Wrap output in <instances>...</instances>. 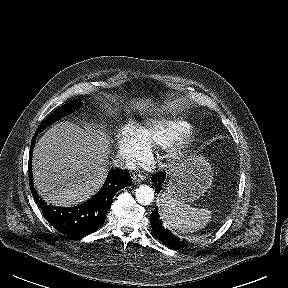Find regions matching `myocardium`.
Wrapping results in <instances>:
<instances>
[{"instance_id": "myocardium-1", "label": "myocardium", "mask_w": 288, "mask_h": 288, "mask_svg": "<svg viewBox=\"0 0 288 288\" xmlns=\"http://www.w3.org/2000/svg\"><path fill=\"white\" fill-rule=\"evenodd\" d=\"M196 136L197 133L195 129L190 127L180 137L168 145V159L172 164H179L189 155Z\"/></svg>"}]
</instances>
